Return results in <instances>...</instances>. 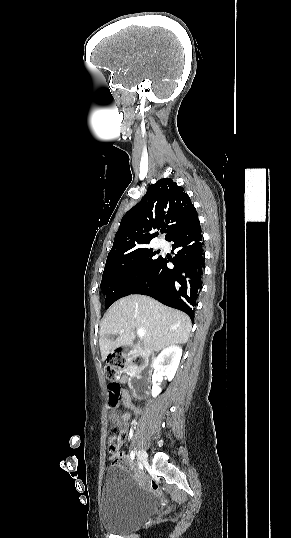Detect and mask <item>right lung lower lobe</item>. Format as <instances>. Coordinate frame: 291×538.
I'll return each instance as SVG.
<instances>
[{"label": "right lung lower lobe", "instance_id": "right-lung-lower-lobe-1", "mask_svg": "<svg viewBox=\"0 0 291 538\" xmlns=\"http://www.w3.org/2000/svg\"><path fill=\"white\" fill-rule=\"evenodd\" d=\"M167 241L177 251L174 268L167 267V258L161 257L145 281L132 293L153 297L159 302L179 309L194 318L197 299L202 288L204 253L199 221L177 233Z\"/></svg>", "mask_w": 291, "mask_h": 538}]
</instances>
